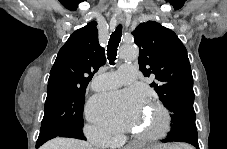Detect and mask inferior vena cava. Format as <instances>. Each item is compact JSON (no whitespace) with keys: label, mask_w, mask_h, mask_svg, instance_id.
Masks as SVG:
<instances>
[{"label":"inferior vena cava","mask_w":227,"mask_h":149,"mask_svg":"<svg viewBox=\"0 0 227 149\" xmlns=\"http://www.w3.org/2000/svg\"><path fill=\"white\" fill-rule=\"evenodd\" d=\"M105 137H106V135L102 132H99V131L93 132V135H92L93 140L102 139V138H105Z\"/></svg>","instance_id":"1"}]
</instances>
